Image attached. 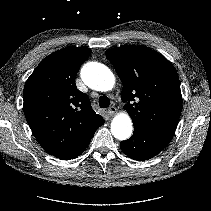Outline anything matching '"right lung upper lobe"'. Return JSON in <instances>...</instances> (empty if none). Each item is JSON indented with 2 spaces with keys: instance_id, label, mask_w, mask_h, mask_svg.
Masks as SVG:
<instances>
[{
  "instance_id": "obj_1",
  "label": "right lung upper lobe",
  "mask_w": 211,
  "mask_h": 211,
  "mask_svg": "<svg viewBox=\"0 0 211 211\" xmlns=\"http://www.w3.org/2000/svg\"><path fill=\"white\" fill-rule=\"evenodd\" d=\"M91 54L86 47H67L42 60L26 81L24 114L40 145L60 158L88 141L104 124L75 78Z\"/></svg>"
}]
</instances>
